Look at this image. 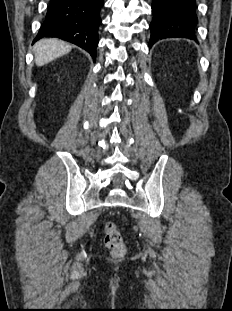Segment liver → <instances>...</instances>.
<instances>
[{
  "label": "liver",
  "instance_id": "liver-1",
  "mask_svg": "<svg viewBox=\"0 0 232 311\" xmlns=\"http://www.w3.org/2000/svg\"><path fill=\"white\" fill-rule=\"evenodd\" d=\"M72 49V46L62 40L56 38L42 39L35 43L33 52L35 55V63L37 66H43L57 59Z\"/></svg>",
  "mask_w": 232,
  "mask_h": 311
}]
</instances>
